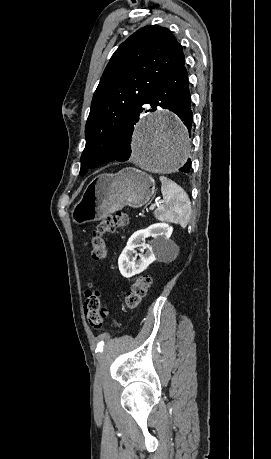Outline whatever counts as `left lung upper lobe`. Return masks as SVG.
<instances>
[{
	"mask_svg": "<svg viewBox=\"0 0 271 459\" xmlns=\"http://www.w3.org/2000/svg\"><path fill=\"white\" fill-rule=\"evenodd\" d=\"M184 65L181 45L164 27L140 28L119 46L92 99L81 176L120 155L122 137L139 120L149 94Z\"/></svg>",
	"mask_w": 271,
	"mask_h": 459,
	"instance_id": "left-lung-upper-lobe-1",
	"label": "left lung upper lobe"
}]
</instances>
